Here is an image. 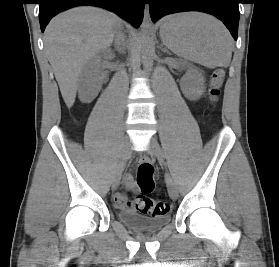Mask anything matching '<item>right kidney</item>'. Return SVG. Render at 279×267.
Returning a JSON list of instances; mask_svg holds the SVG:
<instances>
[{"label":"right kidney","instance_id":"1","mask_svg":"<svg viewBox=\"0 0 279 267\" xmlns=\"http://www.w3.org/2000/svg\"><path fill=\"white\" fill-rule=\"evenodd\" d=\"M99 63L100 59L95 58L79 80V98L83 103H90L102 86Z\"/></svg>","mask_w":279,"mask_h":267}]
</instances>
